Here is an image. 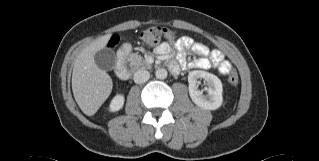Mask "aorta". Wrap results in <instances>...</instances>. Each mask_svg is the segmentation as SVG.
<instances>
[{
    "label": "aorta",
    "instance_id": "obj_1",
    "mask_svg": "<svg viewBox=\"0 0 319 161\" xmlns=\"http://www.w3.org/2000/svg\"><path fill=\"white\" fill-rule=\"evenodd\" d=\"M155 76H156V78L161 79V80L165 79L167 77V70L164 68L157 69L155 72Z\"/></svg>",
    "mask_w": 319,
    "mask_h": 161
}]
</instances>
